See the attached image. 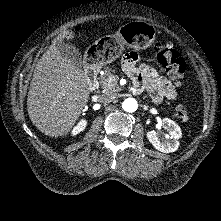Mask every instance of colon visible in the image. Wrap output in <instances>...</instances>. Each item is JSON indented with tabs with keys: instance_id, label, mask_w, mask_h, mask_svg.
Here are the masks:
<instances>
[{
	"instance_id": "colon-1",
	"label": "colon",
	"mask_w": 221,
	"mask_h": 221,
	"mask_svg": "<svg viewBox=\"0 0 221 221\" xmlns=\"http://www.w3.org/2000/svg\"><path fill=\"white\" fill-rule=\"evenodd\" d=\"M157 62L177 83H182L185 77V63L179 53L168 43L159 42L155 47ZM179 119L186 121L189 110L184 105H179L176 110Z\"/></svg>"
}]
</instances>
